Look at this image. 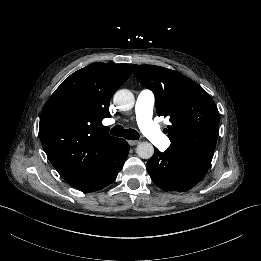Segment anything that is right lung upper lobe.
<instances>
[{
  "label": "right lung upper lobe",
  "instance_id": "1",
  "mask_svg": "<svg viewBox=\"0 0 261 261\" xmlns=\"http://www.w3.org/2000/svg\"><path fill=\"white\" fill-rule=\"evenodd\" d=\"M131 72L128 64L92 63L66 78L46 102L39 136L65 180L98 164L120 139L101 122L111 116V96Z\"/></svg>",
  "mask_w": 261,
  "mask_h": 261
}]
</instances>
